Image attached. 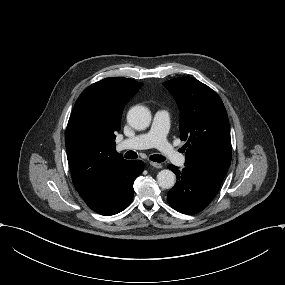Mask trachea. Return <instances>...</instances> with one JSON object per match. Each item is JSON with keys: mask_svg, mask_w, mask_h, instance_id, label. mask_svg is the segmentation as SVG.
I'll return each instance as SVG.
<instances>
[{"mask_svg": "<svg viewBox=\"0 0 285 285\" xmlns=\"http://www.w3.org/2000/svg\"><path fill=\"white\" fill-rule=\"evenodd\" d=\"M125 157H126L127 159H135V158H137V153L134 152V151H132V150H130V151H128V152L125 154ZM165 159H166V158H165L164 156L159 155V154H155V155H151V156H150V160H151V161L158 162V163H161V162L165 161Z\"/></svg>", "mask_w": 285, "mask_h": 285, "instance_id": "trachea-1", "label": "trachea"}]
</instances>
